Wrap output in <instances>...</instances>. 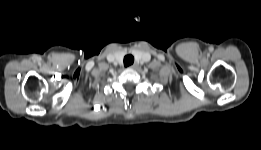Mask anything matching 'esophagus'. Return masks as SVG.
<instances>
[{
  "instance_id": "34e87169",
  "label": "esophagus",
  "mask_w": 261,
  "mask_h": 150,
  "mask_svg": "<svg viewBox=\"0 0 261 150\" xmlns=\"http://www.w3.org/2000/svg\"><path fill=\"white\" fill-rule=\"evenodd\" d=\"M136 67V64L131 65L129 68L133 69Z\"/></svg>"
}]
</instances>
